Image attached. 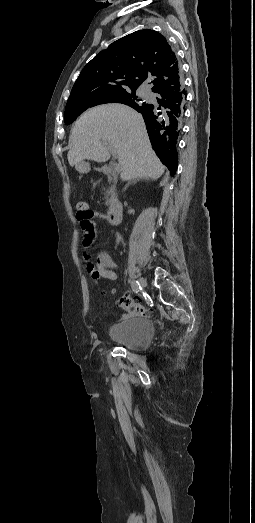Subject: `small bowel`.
<instances>
[{
	"label": "small bowel",
	"mask_w": 255,
	"mask_h": 523,
	"mask_svg": "<svg viewBox=\"0 0 255 523\" xmlns=\"http://www.w3.org/2000/svg\"><path fill=\"white\" fill-rule=\"evenodd\" d=\"M105 216L100 212H91V219L88 222L80 223L82 234H83V260L86 265L88 273L94 278H104L110 281L117 279V273L115 271L117 264L112 259L110 254L106 251H100L97 254L95 262H93L89 253L90 246L97 239V230L95 222L92 218L103 219Z\"/></svg>",
	"instance_id": "obj_1"
}]
</instances>
